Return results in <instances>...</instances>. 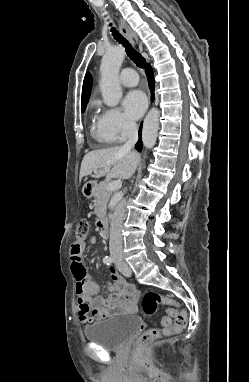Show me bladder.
<instances>
[{
	"mask_svg": "<svg viewBox=\"0 0 249 382\" xmlns=\"http://www.w3.org/2000/svg\"><path fill=\"white\" fill-rule=\"evenodd\" d=\"M141 320L133 315L112 316L94 321L83 330L85 339L105 350L122 349L130 336L139 328Z\"/></svg>",
	"mask_w": 249,
	"mask_h": 382,
	"instance_id": "obj_1",
	"label": "bladder"
}]
</instances>
